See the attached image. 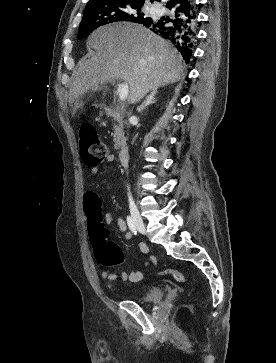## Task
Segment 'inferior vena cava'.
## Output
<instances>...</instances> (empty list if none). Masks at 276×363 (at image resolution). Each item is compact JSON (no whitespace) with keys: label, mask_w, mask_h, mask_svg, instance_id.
<instances>
[{"label":"inferior vena cava","mask_w":276,"mask_h":363,"mask_svg":"<svg viewBox=\"0 0 276 363\" xmlns=\"http://www.w3.org/2000/svg\"><path fill=\"white\" fill-rule=\"evenodd\" d=\"M134 119H135V117H134V116H132V117L130 118V121H133ZM128 198H129V204H130V206H135L134 201H133V198H132V195H131V193H130V192L128 193Z\"/></svg>","instance_id":"inferior-vena-cava-1"}]
</instances>
